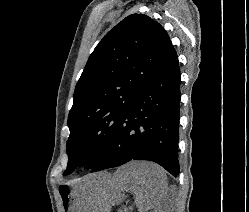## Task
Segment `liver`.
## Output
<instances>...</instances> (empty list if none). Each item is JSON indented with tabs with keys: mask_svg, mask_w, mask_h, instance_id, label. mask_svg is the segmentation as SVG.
<instances>
[{
	"mask_svg": "<svg viewBox=\"0 0 249 212\" xmlns=\"http://www.w3.org/2000/svg\"><path fill=\"white\" fill-rule=\"evenodd\" d=\"M103 194V212H111L124 200L125 192L135 196L138 212H147L159 206L167 188L166 174L153 162H129L117 168L115 174H99Z\"/></svg>",
	"mask_w": 249,
	"mask_h": 212,
	"instance_id": "liver-1",
	"label": "liver"
}]
</instances>
